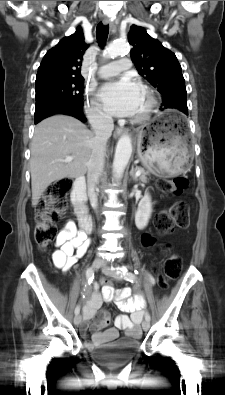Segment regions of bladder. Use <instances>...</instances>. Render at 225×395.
Wrapping results in <instances>:
<instances>
[{"label":"bladder","mask_w":225,"mask_h":395,"mask_svg":"<svg viewBox=\"0 0 225 395\" xmlns=\"http://www.w3.org/2000/svg\"><path fill=\"white\" fill-rule=\"evenodd\" d=\"M139 340L118 339L104 347H91L95 358L104 363H112L128 358L140 348Z\"/></svg>","instance_id":"bladder-1"}]
</instances>
